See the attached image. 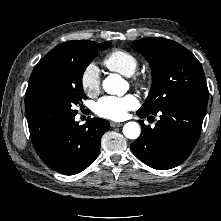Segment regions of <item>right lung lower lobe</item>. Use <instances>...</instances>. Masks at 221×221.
<instances>
[{
	"instance_id": "obj_1",
	"label": "right lung lower lobe",
	"mask_w": 221,
	"mask_h": 221,
	"mask_svg": "<svg viewBox=\"0 0 221 221\" xmlns=\"http://www.w3.org/2000/svg\"><path fill=\"white\" fill-rule=\"evenodd\" d=\"M34 148L51 169L65 175L83 171L97 158L109 122L89 117L79 125L76 110L48 102L25 105Z\"/></svg>"
}]
</instances>
